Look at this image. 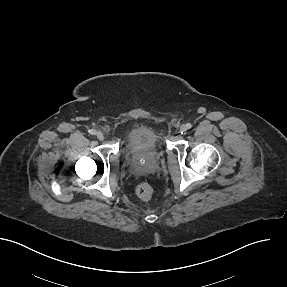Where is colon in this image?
I'll list each match as a JSON object with an SVG mask.
<instances>
[{
    "instance_id": "5ec220e1",
    "label": "colon",
    "mask_w": 287,
    "mask_h": 287,
    "mask_svg": "<svg viewBox=\"0 0 287 287\" xmlns=\"http://www.w3.org/2000/svg\"><path fill=\"white\" fill-rule=\"evenodd\" d=\"M136 193L142 200H150L153 197V188L150 184L143 182L137 186Z\"/></svg>"
}]
</instances>
